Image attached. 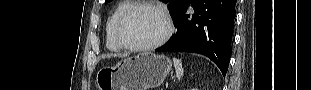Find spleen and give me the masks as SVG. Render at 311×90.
Instances as JSON below:
<instances>
[{"mask_svg": "<svg viewBox=\"0 0 311 90\" xmlns=\"http://www.w3.org/2000/svg\"><path fill=\"white\" fill-rule=\"evenodd\" d=\"M173 63L176 71V77L180 79L184 74V69L182 67V61L177 58H173Z\"/></svg>", "mask_w": 311, "mask_h": 90, "instance_id": "obj_1", "label": "spleen"}]
</instances>
